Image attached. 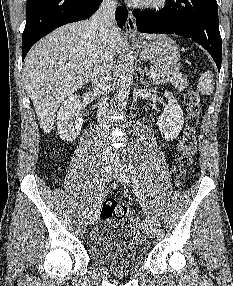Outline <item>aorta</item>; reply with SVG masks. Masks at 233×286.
<instances>
[{
    "mask_svg": "<svg viewBox=\"0 0 233 286\" xmlns=\"http://www.w3.org/2000/svg\"><path fill=\"white\" fill-rule=\"evenodd\" d=\"M133 80V58L131 56L125 57L120 68V75L118 78V95L117 102L119 108H124L127 105L130 86Z\"/></svg>",
    "mask_w": 233,
    "mask_h": 286,
    "instance_id": "1",
    "label": "aorta"
}]
</instances>
